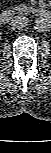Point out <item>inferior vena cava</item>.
Instances as JSON below:
<instances>
[{"mask_svg": "<svg viewBox=\"0 0 51 153\" xmlns=\"http://www.w3.org/2000/svg\"><path fill=\"white\" fill-rule=\"evenodd\" d=\"M28 24V18L23 15H18L12 18L11 25L13 28L22 29Z\"/></svg>", "mask_w": 51, "mask_h": 153, "instance_id": "inferior-vena-cava-1", "label": "inferior vena cava"}]
</instances>
